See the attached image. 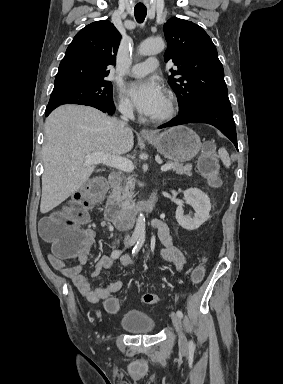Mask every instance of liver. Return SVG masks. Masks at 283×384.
<instances>
[{
	"label": "liver",
	"instance_id": "liver-1",
	"mask_svg": "<svg viewBox=\"0 0 283 384\" xmlns=\"http://www.w3.org/2000/svg\"><path fill=\"white\" fill-rule=\"evenodd\" d=\"M118 124L116 118H109L95 108L74 104L59 106L46 118L41 214L59 206L89 180L95 166H85L87 154L121 156L132 150L131 128L121 134Z\"/></svg>",
	"mask_w": 283,
	"mask_h": 384
}]
</instances>
